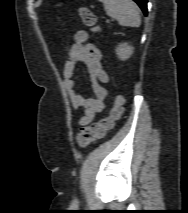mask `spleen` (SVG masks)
I'll list each match as a JSON object with an SVG mask.
<instances>
[{
  "instance_id": "spleen-1",
  "label": "spleen",
  "mask_w": 188,
  "mask_h": 213,
  "mask_svg": "<svg viewBox=\"0 0 188 213\" xmlns=\"http://www.w3.org/2000/svg\"><path fill=\"white\" fill-rule=\"evenodd\" d=\"M104 4L108 16L116 19L120 25L139 27L141 24L139 7L132 0H99Z\"/></svg>"
}]
</instances>
